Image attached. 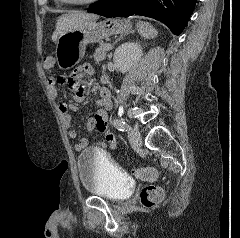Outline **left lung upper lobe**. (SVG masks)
Returning a JSON list of instances; mask_svg holds the SVG:
<instances>
[{"instance_id": "obj_1", "label": "left lung upper lobe", "mask_w": 240, "mask_h": 238, "mask_svg": "<svg viewBox=\"0 0 240 238\" xmlns=\"http://www.w3.org/2000/svg\"><path fill=\"white\" fill-rule=\"evenodd\" d=\"M97 3H98V2H97ZM97 3L92 4L90 7L94 6V5L97 4Z\"/></svg>"}]
</instances>
